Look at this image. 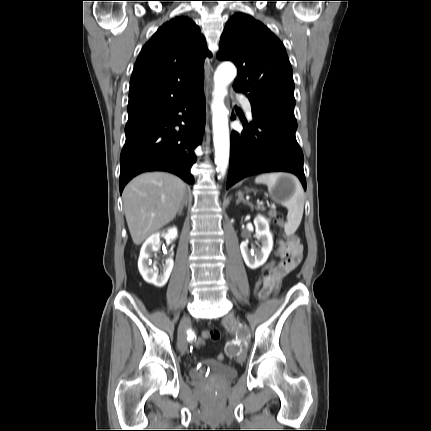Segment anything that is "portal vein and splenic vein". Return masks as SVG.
Returning a JSON list of instances; mask_svg holds the SVG:
<instances>
[{"mask_svg":"<svg viewBox=\"0 0 431 431\" xmlns=\"http://www.w3.org/2000/svg\"><path fill=\"white\" fill-rule=\"evenodd\" d=\"M263 204V202H258V205H262Z\"/></svg>","mask_w":431,"mask_h":431,"instance_id":"portal-vein-and-splenic-vein-1","label":"portal vein and splenic vein"}]
</instances>
